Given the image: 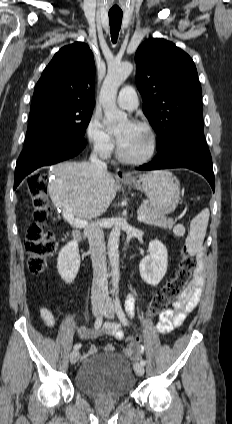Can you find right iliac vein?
<instances>
[{
  "mask_svg": "<svg viewBox=\"0 0 232 424\" xmlns=\"http://www.w3.org/2000/svg\"><path fill=\"white\" fill-rule=\"evenodd\" d=\"M104 309V305L102 303L94 304L92 307V313L94 316H98ZM80 353L78 350H74L70 355V362L75 364L79 359Z\"/></svg>",
  "mask_w": 232,
  "mask_h": 424,
  "instance_id": "63e3f726",
  "label": "right iliac vein"
}]
</instances>
